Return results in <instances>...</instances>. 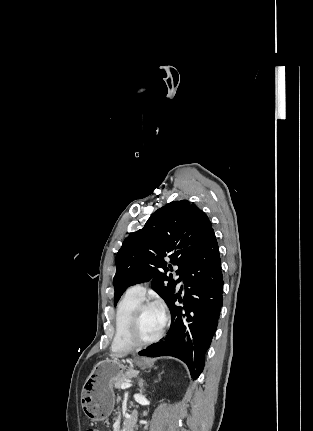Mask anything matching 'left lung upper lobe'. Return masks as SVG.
Here are the masks:
<instances>
[{"label": "left lung upper lobe", "mask_w": 313, "mask_h": 431, "mask_svg": "<svg viewBox=\"0 0 313 431\" xmlns=\"http://www.w3.org/2000/svg\"><path fill=\"white\" fill-rule=\"evenodd\" d=\"M212 224L207 215L188 200L172 201L154 212L145 226L130 234L116 256L113 278L115 304L127 287L152 279V288L168 304L176 283L201 248ZM170 258V263L165 261ZM177 265V281L166 273ZM169 267V268H168ZM168 281V285L164 284Z\"/></svg>", "instance_id": "left-lung-upper-lobe-1"}]
</instances>
